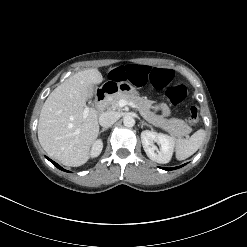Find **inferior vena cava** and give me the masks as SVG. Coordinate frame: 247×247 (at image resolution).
I'll use <instances>...</instances> for the list:
<instances>
[{
	"instance_id": "1",
	"label": "inferior vena cava",
	"mask_w": 247,
	"mask_h": 247,
	"mask_svg": "<svg viewBox=\"0 0 247 247\" xmlns=\"http://www.w3.org/2000/svg\"><path fill=\"white\" fill-rule=\"evenodd\" d=\"M118 117L115 112L107 111L103 112L99 117V123L102 127L108 128L112 126L116 121Z\"/></svg>"
}]
</instances>
